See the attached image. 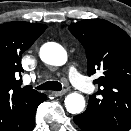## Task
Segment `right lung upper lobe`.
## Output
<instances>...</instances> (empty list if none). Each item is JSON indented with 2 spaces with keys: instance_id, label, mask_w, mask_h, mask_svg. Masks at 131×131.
<instances>
[{
  "instance_id": "obj_1",
  "label": "right lung upper lobe",
  "mask_w": 131,
  "mask_h": 131,
  "mask_svg": "<svg viewBox=\"0 0 131 131\" xmlns=\"http://www.w3.org/2000/svg\"><path fill=\"white\" fill-rule=\"evenodd\" d=\"M47 28L44 24L8 22L0 25V108L11 109L43 97L30 86L21 87V56Z\"/></svg>"
}]
</instances>
